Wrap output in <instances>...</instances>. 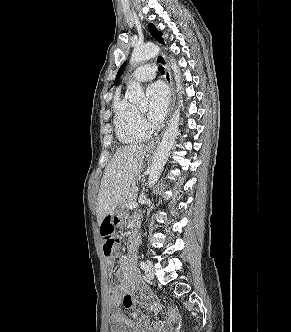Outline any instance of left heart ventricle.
<instances>
[{"label": "left heart ventricle", "mask_w": 291, "mask_h": 332, "mask_svg": "<svg viewBox=\"0 0 291 332\" xmlns=\"http://www.w3.org/2000/svg\"><path fill=\"white\" fill-rule=\"evenodd\" d=\"M145 110H146V107H145V106H143V107L140 108V111H141V112H144Z\"/></svg>", "instance_id": "left-heart-ventricle-1"}]
</instances>
